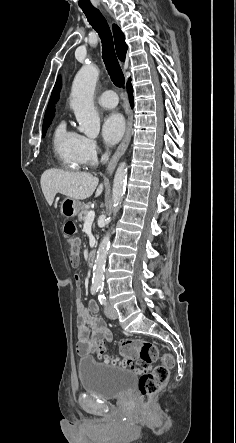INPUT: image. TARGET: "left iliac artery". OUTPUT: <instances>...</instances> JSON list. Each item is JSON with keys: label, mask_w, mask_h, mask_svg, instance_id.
I'll return each instance as SVG.
<instances>
[{"label": "left iliac artery", "mask_w": 236, "mask_h": 443, "mask_svg": "<svg viewBox=\"0 0 236 443\" xmlns=\"http://www.w3.org/2000/svg\"><path fill=\"white\" fill-rule=\"evenodd\" d=\"M102 291L103 290L101 289L98 299H99V302L101 305H106V298H105V295Z\"/></svg>", "instance_id": "1"}]
</instances>
